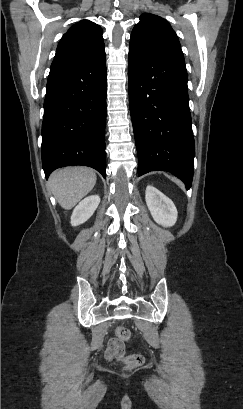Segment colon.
Masks as SVG:
<instances>
[{"label": "colon", "instance_id": "obj_1", "mask_svg": "<svg viewBox=\"0 0 243 409\" xmlns=\"http://www.w3.org/2000/svg\"><path fill=\"white\" fill-rule=\"evenodd\" d=\"M116 334L124 342H128L131 337L130 331L122 327L116 329ZM123 361L126 368L133 369L140 367L144 363L145 358L140 354H125L124 352Z\"/></svg>", "mask_w": 243, "mask_h": 409}]
</instances>
